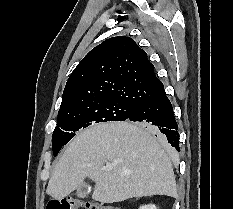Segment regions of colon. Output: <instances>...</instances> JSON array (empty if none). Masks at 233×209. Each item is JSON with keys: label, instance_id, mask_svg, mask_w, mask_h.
Wrapping results in <instances>:
<instances>
[{"label": "colon", "instance_id": "obj_1", "mask_svg": "<svg viewBox=\"0 0 233 209\" xmlns=\"http://www.w3.org/2000/svg\"><path fill=\"white\" fill-rule=\"evenodd\" d=\"M46 209H120L116 206L103 203L90 202L80 198L52 200L47 204Z\"/></svg>", "mask_w": 233, "mask_h": 209}]
</instances>
